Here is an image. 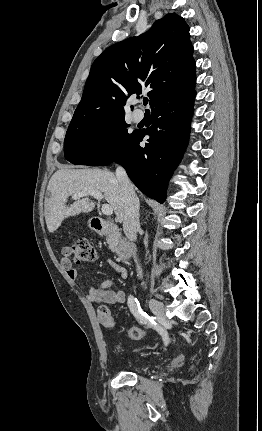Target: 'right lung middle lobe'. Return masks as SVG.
Returning a JSON list of instances; mask_svg holds the SVG:
<instances>
[{
    "mask_svg": "<svg viewBox=\"0 0 262 431\" xmlns=\"http://www.w3.org/2000/svg\"><path fill=\"white\" fill-rule=\"evenodd\" d=\"M128 126L124 116L72 121L64 141L65 159L77 165L111 164L137 132L128 133Z\"/></svg>",
    "mask_w": 262,
    "mask_h": 431,
    "instance_id": "1",
    "label": "right lung middle lobe"
}]
</instances>
